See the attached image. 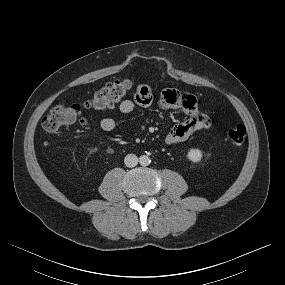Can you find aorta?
<instances>
[{
  "label": "aorta",
  "instance_id": "762f6f07",
  "mask_svg": "<svg viewBox=\"0 0 285 285\" xmlns=\"http://www.w3.org/2000/svg\"><path fill=\"white\" fill-rule=\"evenodd\" d=\"M139 163L142 165V166H148L150 163H151V159L148 155H142L140 158H139Z\"/></svg>",
  "mask_w": 285,
  "mask_h": 285
}]
</instances>
